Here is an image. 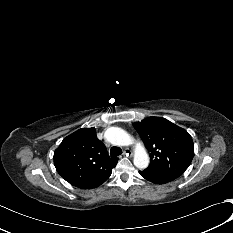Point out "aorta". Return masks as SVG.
I'll list each match as a JSON object with an SVG mask.
<instances>
[{
	"label": "aorta",
	"mask_w": 233,
	"mask_h": 233,
	"mask_svg": "<svg viewBox=\"0 0 233 233\" xmlns=\"http://www.w3.org/2000/svg\"><path fill=\"white\" fill-rule=\"evenodd\" d=\"M105 138L113 145L128 146L134 143L132 137L123 129L110 127L105 132ZM134 165L139 169H145L149 165V156L144 145L140 142L135 144Z\"/></svg>",
	"instance_id": "1"
}]
</instances>
